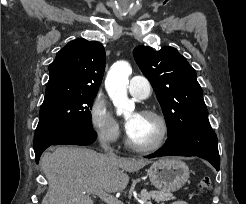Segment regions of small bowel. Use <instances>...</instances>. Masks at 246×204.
Here are the masks:
<instances>
[{"instance_id": "c3829d8e", "label": "small bowel", "mask_w": 246, "mask_h": 204, "mask_svg": "<svg viewBox=\"0 0 246 204\" xmlns=\"http://www.w3.org/2000/svg\"><path fill=\"white\" fill-rule=\"evenodd\" d=\"M172 204H188V203L185 202V201H176V202H174V203H172Z\"/></svg>"}]
</instances>
